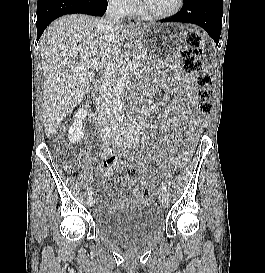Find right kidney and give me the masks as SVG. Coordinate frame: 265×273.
Instances as JSON below:
<instances>
[{
	"label": "right kidney",
	"instance_id": "1",
	"mask_svg": "<svg viewBox=\"0 0 265 273\" xmlns=\"http://www.w3.org/2000/svg\"><path fill=\"white\" fill-rule=\"evenodd\" d=\"M87 116V111L84 109H79L78 112L74 115V122L69 127L68 130V139L70 143L75 144L79 142L84 135L83 120Z\"/></svg>",
	"mask_w": 265,
	"mask_h": 273
}]
</instances>
